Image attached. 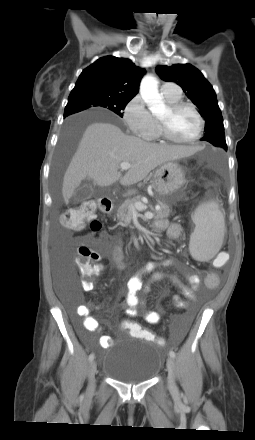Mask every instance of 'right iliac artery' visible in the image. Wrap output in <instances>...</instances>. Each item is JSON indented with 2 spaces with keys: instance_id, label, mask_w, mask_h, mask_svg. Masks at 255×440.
I'll list each match as a JSON object with an SVG mask.
<instances>
[{
  "instance_id": "82829eb1",
  "label": "right iliac artery",
  "mask_w": 255,
  "mask_h": 440,
  "mask_svg": "<svg viewBox=\"0 0 255 440\" xmlns=\"http://www.w3.org/2000/svg\"><path fill=\"white\" fill-rule=\"evenodd\" d=\"M93 359H94V354L91 353V354L89 355V361H92Z\"/></svg>"
}]
</instances>
